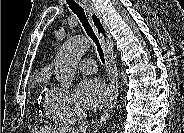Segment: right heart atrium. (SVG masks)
<instances>
[{"label":"right heart atrium","mask_w":184,"mask_h":133,"mask_svg":"<svg viewBox=\"0 0 184 133\" xmlns=\"http://www.w3.org/2000/svg\"><path fill=\"white\" fill-rule=\"evenodd\" d=\"M45 99L50 111L59 122H70L80 113L72 93L65 88L49 87Z\"/></svg>","instance_id":"d8ad5b80"}]
</instances>
